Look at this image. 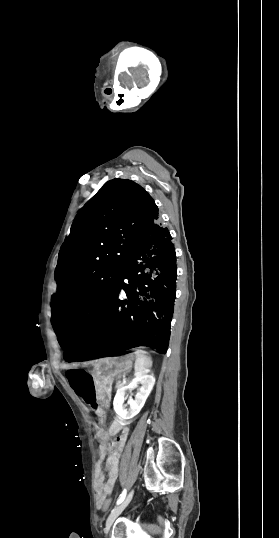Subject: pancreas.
<instances>
[{"mask_svg": "<svg viewBox=\"0 0 279 538\" xmlns=\"http://www.w3.org/2000/svg\"><path fill=\"white\" fill-rule=\"evenodd\" d=\"M113 384H114L115 386H118V385L120 384V381H119L118 379H115V380L113 381Z\"/></svg>", "mask_w": 279, "mask_h": 538, "instance_id": "cf45deb5", "label": "pancreas"}]
</instances>
